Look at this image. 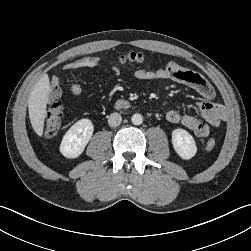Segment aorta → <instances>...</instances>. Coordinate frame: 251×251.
<instances>
[{
    "instance_id": "762f6f07",
    "label": "aorta",
    "mask_w": 251,
    "mask_h": 251,
    "mask_svg": "<svg viewBox=\"0 0 251 251\" xmlns=\"http://www.w3.org/2000/svg\"><path fill=\"white\" fill-rule=\"evenodd\" d=\"M131 121L134 125H140L143 122V117L141 114L136 113L132 116Z\"/></svg>"
}]
</instances>
